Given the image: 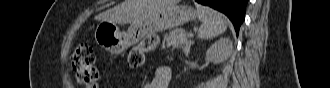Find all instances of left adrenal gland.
Instances as JSON below:
<instances>
[{"label":"left adrenal gland","mask_w":330,"mask_h":88,"mask_svg":"<svg viewBox=\"0 0 330 88\" xmlns=\"http://www.w3.org/2000/svg\"><path fill=\"white\" fill-rule=\"evenodd\" d=\"M193 44H194V41H190L189 45H188L187 48L184 50V53H185L186 55H188V53H189V51H190V47H191V45H193Z\"/></svg>","instance_id":"1"}]
</instances>
